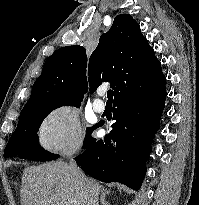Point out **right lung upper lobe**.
<instances>
[{"label": "right lung upper lobe", "mask_w": 199, "mask_h": 205, "mask_svg": "<svg viewBox=\"0 0 199 205\" xmlns=\"http://www.w3.org/2000/svg\"><path fill=\"white\" fill-rule=\"evenodd\" d=\"M80 45L66 46L46 60L36 79L27 103L61 101L80 104L88 90L94 92L101 84L110 83L115 97L130 84L161 70L154 50L142 35L139 25L129 14L117 15L110 30L102 34L88 63ZM26 103V104H27Z\"/></svg>", "instance_id": "1"}]
</instances>
